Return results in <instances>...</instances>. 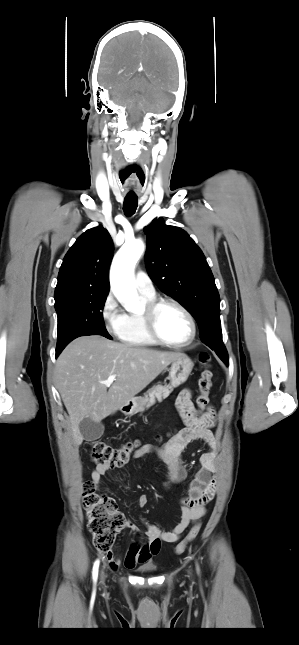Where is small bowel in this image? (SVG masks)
<instances>
[{
	"instance_id": "small-bowel-1",
	"label": "small bowel",
	"mask_w": 299,
	"mask_h": 645,
	"mask_svg": "<svg viewBox=\"0 0 299 645\" xmlns=\"http://www.w3.org/2000/svg\"><path fill=\"white\" fill-rule=\"evenodd\" d=\"M176 408L184 422L182 428L175 438L161 448L151 445H144L133 452V458H143L148 454H155L160 458L166 467L165 487L169 492L175 491V486L182 482L188 474V465L182 458L183 450L193 441H202L207 450L202 452L198 459V466L194 472V478L189 483L185 495L178 498L181 507V518L176 526L170 531H163L141 518L145 527L146 541L144 543L136 539L128 548L122 562L126 568H134L138 563H145L160 551L163 542L173 543L180 539L185 530L197 522L206 513V505L210 502L216 492V478L211 474L216 471V449L217 438L212 431L215 426V413L210 406L201 416H196L195 407L192 401L190 390H183L177 400ZM113 469L107 464H98L91 474L92 483L98 488L102 476ZM149 498L146 494L138 497V505L143 508L147 506ZM127 528L132 529L137 535L140 531L130 520L127 521ZM106 559L111 566H117L121 560L114 552L107 553Z\"/></svg>"
}]
</instances>
